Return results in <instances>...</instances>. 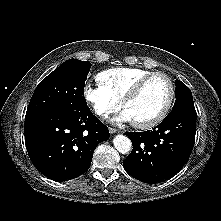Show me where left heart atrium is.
Listing matches in <instances>:
<instances>
[{
	"instance_id": "1",
	"label": "left heart atrium",
	"mask_w": 221,
	"mask_h": 221,
	"mask_svg": "<svg viewBox=\"0 0 221 221\" xmlns=\"http://www.w3.org/2000/svg\"><path fill=\"white\" fill-rule=\"evenodd\" d=\"M116 121L118 122H133L130 114L127 110H124L117 118Z\"/></svg>"
}]
</instances>
